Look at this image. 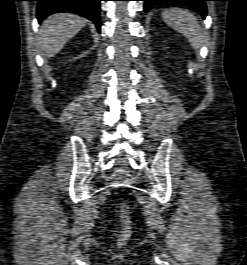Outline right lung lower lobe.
<instances>
[{"mask_svg": "<svg viewBox=\"0 0 247 265\" xmlns=\"http://www.w3.org/2000/svg\"><path fill=\"white\" fill-rule=\"evenodd\" d=\"M37 18L42 22L47 16L61 10L75 12L91 21L100 32V1L101 0H36Z\"/></svg>", "mask_w": 247, "mask_h": 265, "instance_id": "98d812e1", "label": "right lung lower lobe"}]
</instances>
